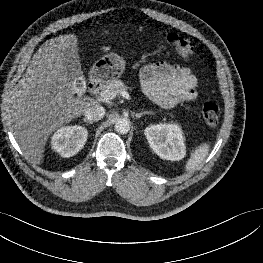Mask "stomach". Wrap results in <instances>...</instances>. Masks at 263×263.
Masks as SVG:
<instances>
[{
    "label": "stomach",
    "instance_id": "1",
    "mask_svg": "<svg viewBox=\"0 0 263 263\" xmlns=\"http://www.w3.org/2000/svg\"><path fill=\"white\" fill-rule=\"evenodd\" d=\"M125 61L117 54L110 53L97 60L90 70V80L108 82L118 79L124 72Z\"/></svg>",
    "mask_w": 263,
    "mask_h": 263
}]
</instances>
